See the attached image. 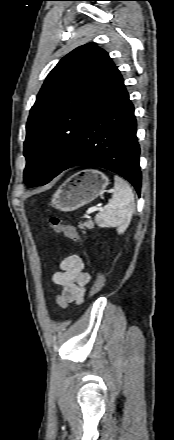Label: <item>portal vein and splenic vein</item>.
Segmentation results:
<instances>
[{
  "mask_svg": "<svg viewBox=\"0 0 174 440\" xmlns=\"http://www.w3.org/2000/svg\"><path fill=\"white\" fill-rule=\"evenodd\" d=\"M98 210L103 211V208H102V207H99V206H93V207L89 208V209L87 210V214L85 215V217H86V218H89V217H90L89 215H90L91 213H94L95 211H98Z\"/></svg>",
  "mask_w": 174,
  "mask_h": 440,
  "instance_id": "portal-vein-and-splenic-vein-1",
  "label": "portal vein and splenic vein"
}]
</instances>
